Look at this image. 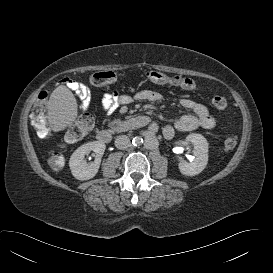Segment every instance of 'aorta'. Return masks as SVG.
<instances>
[{
    "label": "aorta",
    "mask_w": 273,
    "mask_h": 273,
    "mask_svg": "<svg viewBox=\"0 0 273 273\" xmlns=\"http://www.w3.org/2000/svg\"><path fill=\"white\" fill-rule=\"evenodd\" d=\"M133 145L135 146H139L143 143V139L139 136L133 138V141H132Z\"/></svg>",
    "instance_id": "762f6f07"
}]
</instances>
